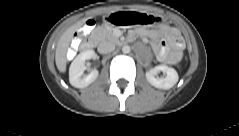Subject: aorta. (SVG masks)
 Wrapping results in <instances>:
<instances>
[{
    "mask_svg": "<svg viewBox=\"0 0 239 136\" xmlns=\"http://www.w3.org/2000/svg\"><path fill=\"white\" fill-rule=\"evenodd\" d=\"M130 50H131V49H130V47H129L128 45H125V46L122 47V52L125 53V54H126V53H129Z\"/></svg>",
    "mask_w": 239,
    "mask_h": 136,
    "instance_id": "762f6f07",
    "label": "aorta"
}]
</instances>
